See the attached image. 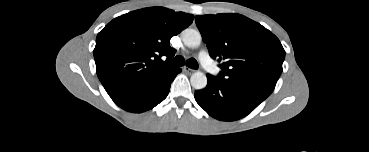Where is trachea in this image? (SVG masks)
I'll return each instance as SVG.
<instances>
[{"instance_id": "1", "label": "trachea", "mask_w": 369, "mask_h": 152, "mask_svg": "<svg viewBox=\"0 0 369 152\" xmlns=\"http://www.w3.org/2000/svg\"><path fill=\"white\" fill-rule=\"evenodd\" d=\"M169 64L173 66H183L185 64V60L182 56H176L170 61ZM186 66L192 69H198V63L194 58L188 59L186 61Z\"/></svg>"}]
</instances>
